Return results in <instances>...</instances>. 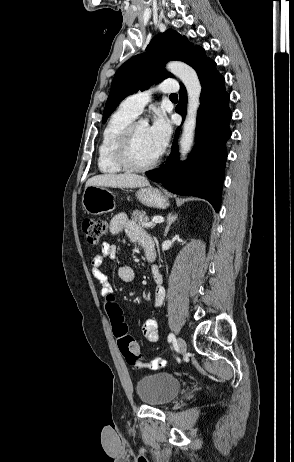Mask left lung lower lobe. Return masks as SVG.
<instances>
[{"instance_id":"0a47b994","label":"left lung lower lobe","mask_w":294,"mask_h":462,"mask_svg":"<svg viewBox=\"0 0 294 462\" xmlns=\"http://www.w3.org/2000/svg\"><path fill=\"white\" fill-rule=\"evenodd\" d=\"M200 83L201 105L197 117V143L187 162H179L177 129L173 149L165 165L148 171L147 176L169 191L180 195H193L208 200L216 210L221 205L224 181V166L227 157L225 143L231 136L229 121L232 113L228 107L229 94L225 90V79L216 70L213 60L196 70ZM180 100L176 111L184 118L187 92L180 84Z\"/></svg>"}]
</instances>
